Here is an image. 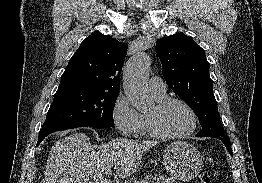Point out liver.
Returning a JSON list of instances; mask_svg holds the SVG:
<instances>
[{
	"mask_svg": "<svg viewBox=\"0 0 262 183\" xmlns=\"http://www.w3.org/2000/svg\"><path fill=\"white\" fill-rule=\"evenodd\" d=\"M156 143L117 138L96 146L86 134L74 133L51 147L43 183H110L103 174L113 166L119 177L126 178L136 172L143 153Z\"/></svg>",
	"mask_w": 262,
	"mask_h": 183,
	"instance_id": "1",
	"label": "liver"
}]
</instances>
